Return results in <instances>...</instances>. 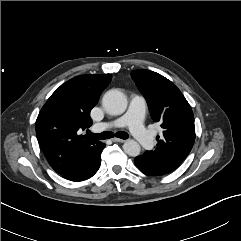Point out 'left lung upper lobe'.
Masks as SVG:
<instances>
[{"label": "left lung upper lobe", "instance_id": "obj_1", "mask_svg": "<svg viewBox=\"0 0 241 241\" xmlns=\"http://www.w3.org/2000/svg\"><path fill=\"white\" fill-rule=\"evenodd\" d=\"M131 76L148 103L152 119L163 128V136L157 137V147L143 156L149 162L179 167L195 141L189 103L170 80L156 72L141 69L133 71Z\"/></svg>", "mask_w": 241, "mask_h": 241}]
</instances>
